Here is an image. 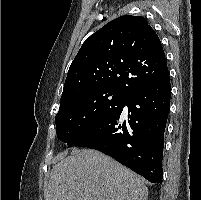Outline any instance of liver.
I'll return each mask as SVG.
<instances>
[{
  "instance_id": "liver-1",
  "label": "liver",
  "mask_w": 201,
  "mask_h": 200,
  "mask_svg": "<svg viewBox=\"0 0 201 200\" xmlns=\"http://www.w3.org/2000/svg\"><path fill=\"white\" fill-rule=\"evenodd\" d=\"M148 189L132 171L91 149H74L50 174L45 200H147Z\"/></svg>"
}]
</instances>
